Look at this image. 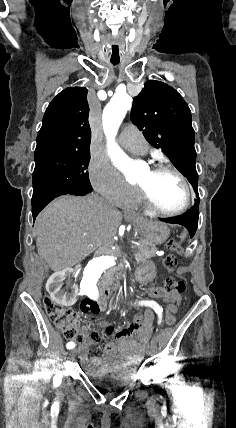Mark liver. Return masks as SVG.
<instances>
[{"label": "liver", "instance_id": "6515ba94", "mask_svg": "<svg viewBox=\"0 0 236 428\" xmlns=\"http://www.w3.org/2000/svg\"><path fill=\"white\" fill-rule=\"evenodd\" d=\"M122 214L89 194L60 196L36 220L37 252L51 270L71 268L99 246L112 248Z\"/></svg>", "mask_w": 236, "mask_h": 428}]
</instances>
